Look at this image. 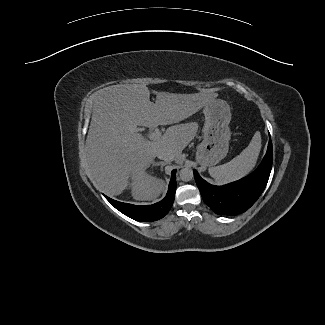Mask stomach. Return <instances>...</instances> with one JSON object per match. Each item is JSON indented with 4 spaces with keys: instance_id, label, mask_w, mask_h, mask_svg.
<instances>
[{
    "instance_id": "stomach-1",
    "label": "stomach",
    "mask_w": 325,
    "mask_h": 325,
    "mask_svg": "<svg viewBox=\"0 0 325 325\" xmlns=\"http://www.w3.org/2000/svg\"><path fill=\"white\" fill-rule=\"evenodd\" d=\"M203 113V141L197 147L196 159L202 166H214L228 153L231 111L226 101L215 99Z\"/></svg>"
}]
</instances>
